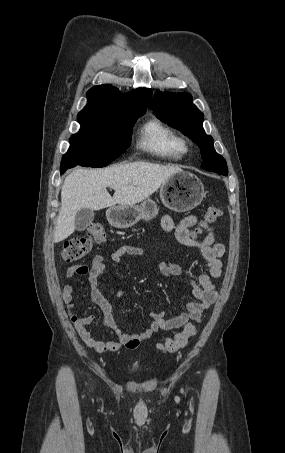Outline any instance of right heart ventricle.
Returning a JSON list of instances; mask_svg holds the SVG:
<instances>
[{"label": "right heart ventricle", "instance_id": "obj_1", "mask_svg": "<svg viewBox=\"0 0 285 453\" xmlns=\"http://www.w3.org/2000/svg\"><path fill=\"white\" fill-rule=\"evenodd\" d=\"M138 145L141 149L168 160H180L185 153L177 132L156 118L143 125Z\"/></svg>", "mask_w": 285, "mask_h": 453}]
</instances>
